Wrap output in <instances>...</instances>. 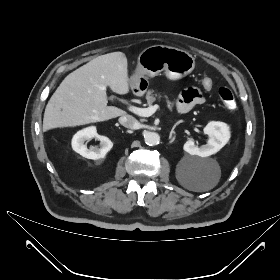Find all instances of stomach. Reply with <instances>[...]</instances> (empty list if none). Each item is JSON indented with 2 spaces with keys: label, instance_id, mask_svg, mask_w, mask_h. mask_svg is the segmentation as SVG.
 <instances>
[{
  "label": "stomach",
  "instance_id": "obj_1",
  "mask_svg": "<svg viewBox=\"0 0 280 280\" xmlns=\"http://www.w3.org/2000/svg\"><path fill=\"white\" fill-rule=\"evenodd\" d=\"M195 67V59L185 50L153 45L144 49L137 61V68L129 82L132 89H146L148 77L164 72L169 80H179L190 74Z\"/></svg>",
  "mask_w": 280,
  "mask_h": 280
}]
</instances>
